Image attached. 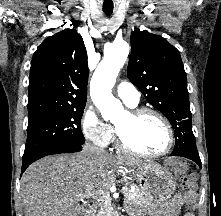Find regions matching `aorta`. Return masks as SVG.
<instances>
[{"mask_svg":"<svg viewBox=\"0 0 221 216\" xmlns=\"http://www.w3.org/2000/svg\"><path fill=\"white\" fill-rule=\"evenodd\" d=\"M128 54L127 42H113L105 50L104 58L96 68L90 82L92 101L106 121L113 120L123 112L122 103L112 95L111 89Z\"/></svg>","mask_w":221,"mask_h":216,"instance_id":"aorta-1","label":"aorta"}]
</instances>
